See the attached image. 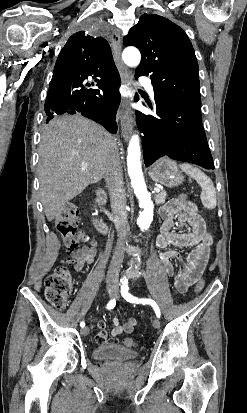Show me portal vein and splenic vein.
<instances>
[{
  "label": "portal vein and splenic vein",
  "instance_id": "1",
  "mask_svg": "<svg viewBox=\"0 0 247 413\" xmlns=\"http://www.w3.org/2000/svg\"><path fill=\"white\" fill-rule=\"evenodd\" d=\"M154 190H156V192H159L160 188H154Z\"/></svg>",
  "mask_w": 247,
  "mask_h": 413
}]
</instances>
